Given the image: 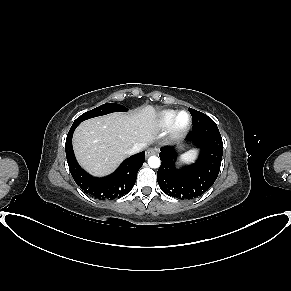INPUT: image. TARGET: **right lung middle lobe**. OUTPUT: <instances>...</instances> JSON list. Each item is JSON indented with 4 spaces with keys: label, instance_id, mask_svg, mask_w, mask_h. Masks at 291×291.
<instances>
[{
    "label": "right lung middle lobe",
    "instance_id": "right-lung-middle-lobe-1",
    "mask_svg": "<svg viewBox=\"0 0 291 291\" xmlns=\"http://www.w3.org/2000/svg\"><path fill=\"white\" fill-rule=\"evenodd\" d=\"M128 109L120 104L116 103H107L103 104L95 109H92L84 114H82L80 117H78L73 125H79L82 121L87 120L92 117L105 115L111 112H126Z\"/></svg>",
    "mask_w": 291,
    "mask_h": 291
}]
</instances>
